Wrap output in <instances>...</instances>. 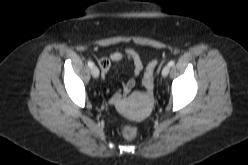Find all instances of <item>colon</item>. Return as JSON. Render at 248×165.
<instances>
[{
	"label": "colon",
	"instance_id": "1",
	"mask_svg": "<svg viewBox=\"0 0 248 165\" xmlns=\"http://www.w3.org/2000/svg\"><path fill=\"white\" fill-rule=\"evenodd\" d=\"M158 67V61L152 60L147 65L144 77H143V87L148 94H151L154 89L155 73ZM119 132L121 136L127 140H133L138 135V130L135 126L129 124H123L119 127Z\"/></svg>",
	"mask_w": 248,
	"mask_h": 165
}]
</instances>
